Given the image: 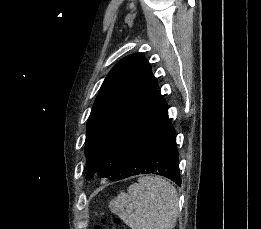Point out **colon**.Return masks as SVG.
I'll list each match as a JSON object with an SVG mask.
<instances>
[{
	"mask_svg": "<svg viewBox=\"0 0 261 229\" xmlns=\"http://www.w3.org/2000/svg\"><path fill=\"white\" fill-rule=\"evenodd\" d=\"M113 224L116 225L117 224V219L116 218H112ZM107 221L106 220H101V224H97L94 226V229H103L104 224H106Z\"/></svg>",
	"mask_w": 261,
	"mask_h": 229,
	"instance_id": "obj_1",
	"label": "colon"
}]
</instances>
